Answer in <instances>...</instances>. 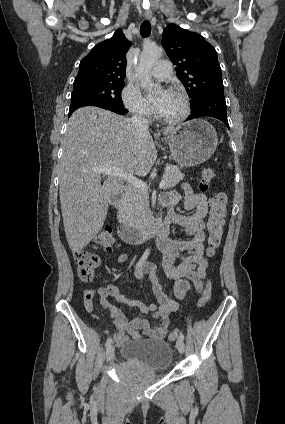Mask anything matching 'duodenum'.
<instances>
[{
    "mask_svg": "<svg viewBox=\"0 0 285 424\" xmlns=\"http://www.w3.org/2000/svg\"><path fill=\"white\" fill-rule=\"evenodd\" d=\"M115 206L117 209L121 208L118 199L115 200ZM166 224V221L162 218H156L150 224L135 227L120 223L117 228V233L123 242L127 244H138L155 236H164L166 232Z\"/></svg>",
    "mask_w": 285,
    "mask_h": 424,
    "instance_id": "410a0bca",
    "label": "duodenum"
}]
</instances>
